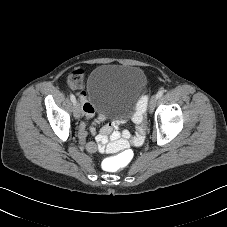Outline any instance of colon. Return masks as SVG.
I'll list each match as a JSON object with an SVG mask.
<instances>
[{"label":"colon","instance_id":"5ec220e1","mask_svg":"<svg viewBox=\"0 0 227 227\" xmlns=\"http://www.w3.org/2000/svg\"><path fill=\"white\" fill-rule=\"evenodd\" d=\"M68 83L71 85H75L78 83V76H73L71 78L68 79ZM145 101V96H142L141 101L139 102L138 106H137V112L135 114L134 120L138 123H140L142 121V109H143V103ZM115 162L119 165V166H123L126 164L127 159L125 158V153H121L120 155H118L115 158Z\"/></svg>","mask_w":227,"mask_h":227}]
</instances>
